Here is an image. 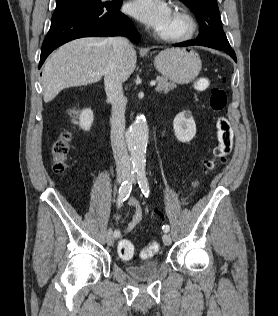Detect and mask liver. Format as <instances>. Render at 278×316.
Here are the masks:
<instances>
[{
  "mask_svg": "<svg viewBox=\"0 0 278 316\" xmlns=\"http://www.w3.org/2000/svg\"><path fill=\"white\" fill-rule=\"evenodd\" d=\"M111 55L110 38L84 37L60 47L44 64V101L50 102L65 88L88 85L101 80ZM136 62V51L129 45L119 64V77L122 82L134 72Z\"/></svg>",
  "mask_w": 278,
  "mask_h": 316,
  "instance_id": "liver-1",
  "label": "liver"
}]
</instances>
